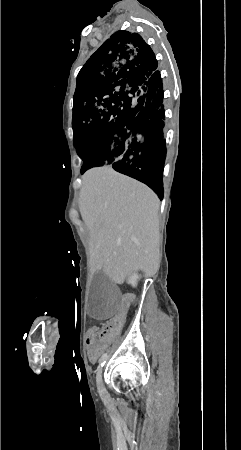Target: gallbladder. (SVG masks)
<instances>
[{"label":"gallbladder","mask_w":241,"mask_h":450,"mask_svg":"<svg viewBox=\"0 0 241 450\" xmlns=\"http://www.w3.org/2000/svg\"><path fill=\"white\" fill-rule=\"evenodd\" d=\"M119 299L120 292L116 281H111L109 274L95 272L86 303L89 315L102 322L111 320L119 310Z\"/></svg>","instance_id":"obj_1"}]
</instances>
